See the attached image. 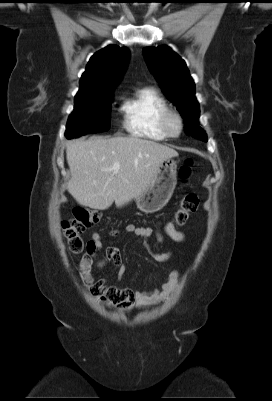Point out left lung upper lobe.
Wrapping results in <instances>:
<instances>
[{
	"mask_svg": "<svg viewBox=\"0 0 272 401\" xmlns=\"http://www.w3.org/2000/svg\"><path fill=\"white\" fill-rule=\"evenodd\" d=\"M143 55L163 92L184 117L187 132L197 139L207 141L205 131L199 126L195 84L184 60L168 46L146 47Z\"/></svg>",
	"mask_w": 272,
	"mask_h": 401,
	"instance_id": "obj_1",
	"label": "left lung upper lobe"
}]
</instances>
